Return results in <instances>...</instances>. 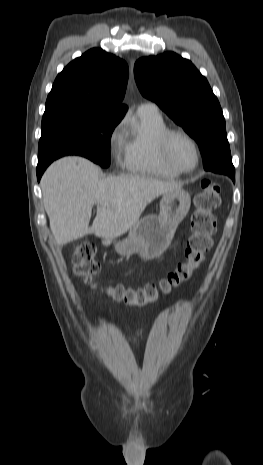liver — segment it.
Returning <instances> with one entry per match:
<instances>
[{
	"mask_svg": "<svg viewBox=\"0 0 263 465\" xmlns=\"http://www.w3.org/2000/svg\"><path fill=\"white\" fill-rule=\"evenodd\" d=\"M99 173L97 165L74 156L55 161L45 171L41 180L43 201L58 244L87 234L117 238L132 228L156 197L182 187V183L142 175L100 179ZM94 205L97 215L89 226Z\"/></svg>",
	"mask_w": 263,
	"mask_h": 465,
	"instance_id": "liver-1",
	"label": "liver"
}]
</instances>
